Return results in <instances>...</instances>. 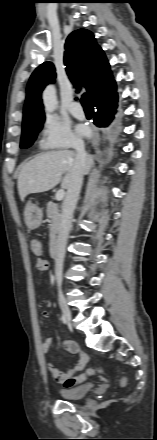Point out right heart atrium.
<instances>
[{"instance_id": "obj_1", "label": "right heart atrium", "mask_w": 157, "mask_h": 440, "mask_svg": "<svg viewBox=\"0 0 157 440\" xmlns=\"http://www.w3.org/2000/svg\"><path fill=\"white\" fill-rule=\"evenodd\" d=\"M81 138L70 124L59 117L47 116L42 124L40 145L43 149H63L79 146Z\"/></svg>"}]
</instances>
